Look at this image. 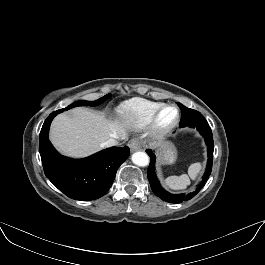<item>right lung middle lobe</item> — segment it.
<instances>
[{
  "label": "right lung middle lobe",
  "mask_w": 265,
  "mask_h": 265,
  "mask_svg": "<svg viewBox=\"0 0 265 265\" xmlns=\"http://www.w3.org/2000/svg\"><path fill=\"white\" fill-rule=\"evenodd\" d=\"M109 97H110V94L105 95L104 97L99 98L96 101H76V102L70 104L69 106H67L66 108L60 109L58 111L63 112V111H66V110L71 109V108L76 107V106H97V105L103 103Z\"/></svg>",
  "instance_id": "obj_1"
}]
</instances>
